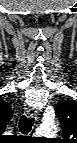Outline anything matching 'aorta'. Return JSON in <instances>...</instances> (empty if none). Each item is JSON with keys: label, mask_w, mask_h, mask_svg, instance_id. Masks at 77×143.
Here are the masks:
<instances>
[{"label": "aorta", "mask_w": 77, "mask_h": 143, "mask_svg": "<svg viewBox=\"0 0 77 143\" xmlns=\"http://www.w3.org/2000/svg\"><path fill=\"white\" fill-rule=\"evenodd\" d=\"M36 133L38 135L47 136V137L55 136L57 133V125L53 121L42 123L38 127Z\"/></svg>", "instance_id": "aorta-1"}]
</instances>
